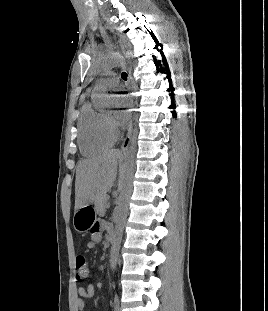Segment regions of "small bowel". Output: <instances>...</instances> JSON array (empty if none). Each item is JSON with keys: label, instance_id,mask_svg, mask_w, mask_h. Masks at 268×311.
Returning <instances> with one entry per match:
<instances>
[{"label": "small bowel", "instance_id": "obj_1", "mask_svg": "<svg viewBox=\"0 0 268 311\" xmlns=\"http://www.w3.org/2000/svg\"><path fill=\"white\" fill-rule=\"evenodd\" d=\"M108 227L104 223L95 224L91 228L90 240L86 243V247L92 250L102 239V229ZM95 293L94 286L92 284H79L77 286V293L75 297V306L78 311H84L85 300L91 298Z\"/></svg>", "mask_w": 268, "mask_h": 311}]
</instances>
